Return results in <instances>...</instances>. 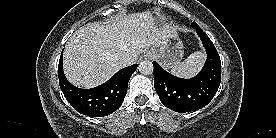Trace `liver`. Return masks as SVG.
Instances as JSON below:
<instances>
[{"mask_svg": "<svg viewBox=\"0 0 276 138\" xmlns=\"http://www.w3.org/2000/svg\"><path fill=\"white\" fill-rule=\"evenodd\" d=\"M174 34V27L158 26L150 11L89 23L66 43L64 73L77 87H96L123 67L118 60L121 53H129L135 61L143 48H158Z\"/></svg>", "mask_w": 276, "mask_h": 138, "instance_id": "1", "label": "liver"}]
</instances>
